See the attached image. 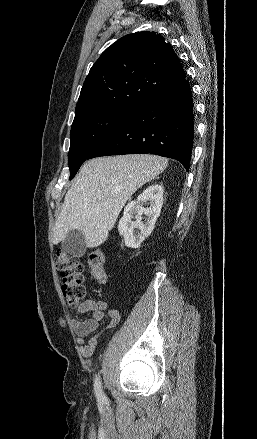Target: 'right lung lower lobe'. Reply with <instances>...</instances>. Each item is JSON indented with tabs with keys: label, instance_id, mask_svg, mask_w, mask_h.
Masks as SVG:
<instances>
[{
	"label": "right lung lower lobe",
	"instance_id": "98d812e1",
	"mask_svg": "<svg viewBox=\"0 0 257 439\" xmlns=\"http://www.w3.org/2000/svg\"><path fill=\"white\" fill-rule=\"evenodd\" d=\"M194 110L183 79L156 94L115 127L88 159L150 153L178 160L188 171L193 148Z\"/></svg>",
	"mask_w": 257,
	"mask_h": 439
}]
</instances>
